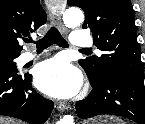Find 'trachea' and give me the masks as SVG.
I'll list each match as a JSON object with an SVG mask.
<instances>
[{"mask_svg":"<svg viewBox=\"0 0 145 124\" xmlns=\"http://www.w3.org/2000/svg\"><path fill=\"white\" fill-rule=\"evenodd\" d=\"M26 43H32L31 39L25 40ZM56 44L62 48H67L69 45L62 37L60 32L55 27H51L46 35L36 42L37 51H42L51 45ZM83 51H90L89 49H82Z\"/></svg>","mask_w":145,"mask_h":124,"instance_id":"trachea-1","label":"trachea"}]
</instances>
